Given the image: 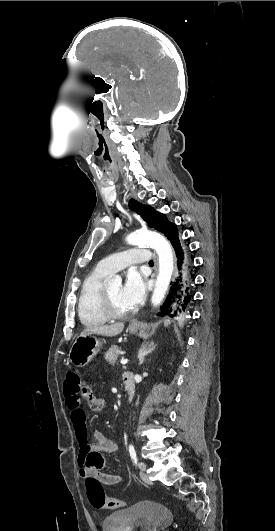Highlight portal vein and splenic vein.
Masks as SVG:
<instances>
[{
	"mask_svg": "<svg viewBox=\"0 0 275 531\" xmlns=\"http://www.w3.org/2000/svg\"><path fill=\"white\" fill-rule=\"evenodd\" d=\"M120 363L121 365H126V363H128V359H121Z\"/></svg>",
	"mask_w": 275,
	"mask_h": 531,
	"instance_id": "18ae733b",
	"label": "portal vein and splenic vein"
}]
</instances>
